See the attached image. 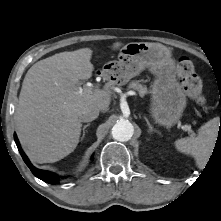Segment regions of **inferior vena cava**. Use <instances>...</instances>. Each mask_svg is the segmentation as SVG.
I'll list each match as a JSON object with an SVG mask.
<instances>
[{"label": "inferior vena cava", "mask_w": 221, "mask_h": 221, "mask_svg": "<svg viewBox=\"0 0 221 221\" xmlns=\"http://www.w3.org/2000/svg\"><path fill=\"white\" fill-rule=\"evenodd\" d=\"M100 109L96 106H89L84 108L80 114L79 118L82 122H90L95 120L99 116Z\"/></svg>", "instance_id": "obj_1"}]
</instances>
